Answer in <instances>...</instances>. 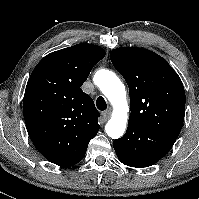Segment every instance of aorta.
I'll return each instance as SVG.
<instances>
[{
	"label": "aorta",
	"instance_id": "762f6f07",
	"mask_svg": "<svg viewBox=\"0 0 199 199\" xmlns=\"http://www.w3.org/2000/svg\"><path fill=\"white\" fill-rule=\"evenodd\" d=\"M95 80L114 108L112 117L105 126V131L112 139H118L123 136L128 120L129 107L125 86L114 72L107 69L99 70Z\"/></svg>",
	"mask_w": 199,
	"mask_h": 199
}]
</instances>
